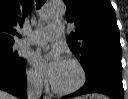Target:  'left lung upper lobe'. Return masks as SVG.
I'll return each instance as SVG.
<instances>
[{
    "label": "left lung upper lobe",
    "mask_w": 128,
    "mask_h": 99,
    "mask_svg": "<svg viewBox=\"0 0 128 99\" xmlns=\"http://www.w3.org/2000/svg\"><path fill=\"white\" fill-rule=\"evenodd\" d=\"M66 19L77 27L68 45L82 67L96 54L121 56L119 28L109 0H64Z\"/></svg>",
    "instance_id": "left-lung-upper-lobe-1"
}]
</instances>
